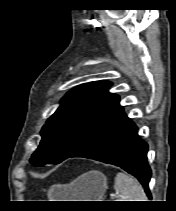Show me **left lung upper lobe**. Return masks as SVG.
Masks as SVG:
<instances>
[{
  "label": "left lung upper lobe",
  "instance_id": "5c2ea615",
  "mask_svg": "<svg viewBox=\"0 0 176 211\" xmlns=\"http://www.w3.org/2000/svg\"><path fill=\"white\" fill-rule=\"evenodd\" d=\"M107 81L73 88L41 130L42 140L30 162L36 166L58 164L77 152L87 140L123 111L119 96L108 91Z\"/></svg>",
  "mask_w": 176,
  "mask_h": 211
}]
</instances>
